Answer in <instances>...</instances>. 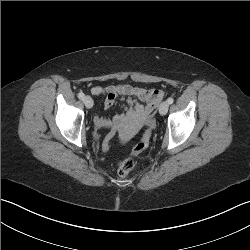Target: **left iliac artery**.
<instances>
[{"instance_id": "obj_1", "label": "left iliac artery", "mask_w": 250, "mask_h": 250, "mask_svg": "<svg viewBox=\"0 0 250 250\" xmlns=\"http://www.w3.org/2000/svg\"><path fill=\"white\" fill-rule=\"evenodd\" d=\"M168 104H172L174 102V99L172 97L168 98L167 100Z\"/></svg>"}]
</instances>
